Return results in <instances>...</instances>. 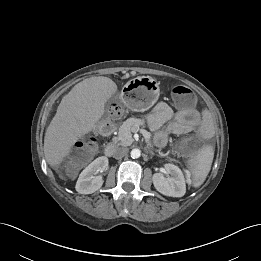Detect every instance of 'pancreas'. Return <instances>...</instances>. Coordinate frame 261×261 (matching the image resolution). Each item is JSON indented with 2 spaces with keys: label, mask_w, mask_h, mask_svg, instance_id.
Listing matches in <instances>:
<instances>
[{
  "label": "pancreas",
  "mask_w": 261,
  "mask_h": 261,
  "mask_svg": "<svg viewBox=\"0 0 261 261\" xmlns=\"http://www.w3.org/2000/svg\"><path fill=\"white\" fill-rule=\"evenodd\" d=\"M139 127H145L144 119L139 118H128L119 127L117 137L113 138V143L122 146H129L132 144L134 139L132 138V132H137Z\"/></svg>",
  "instance_id": "cf45deb5"
}]
</instances>
